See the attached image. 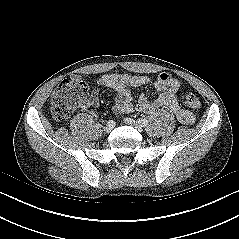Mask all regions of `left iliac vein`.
Masks as SVG:
<instances>
[{
    "instance_id": "obj_1",
    "label": "left iliac vein",
    "mask_w": 239,
    "mask_h": 239,
    "mask_svg": "<svg viewBox=\"0 0 239 239\" xmlns=\"http://www.w3.org/2000/svg\"><path fill=\"white\" fill-rule=\"evenodd\" d=\"M124 122L127 125H130V126L136 128L139 132H142V130H143V127L137 121H135V120H133L131 118H125Z\"/></svg>"
}]
</instances>
